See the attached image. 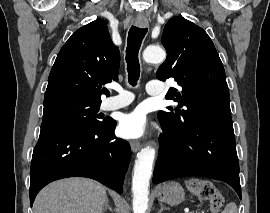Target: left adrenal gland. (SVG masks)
Here are the masks:
<instances>
[{
	"label": "left adrenal gland",
	"instance_id": "a2214340",
	"mask_svg": "<svg viewBox=\"0 0 270 213\" xmlns=\"http://www.w3.org/2000/svg\"><path fill=\"white\" fill-rule=\"evenodd\" d=\"M163 210H165V208L161 205L158 213H161Z\"/></svg>",
	"mask_w": 270,
	"mask_h": 213
}]
</instances>
